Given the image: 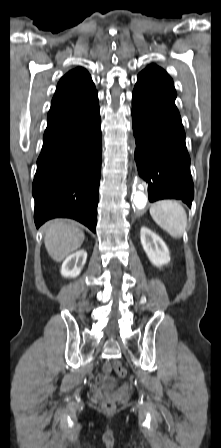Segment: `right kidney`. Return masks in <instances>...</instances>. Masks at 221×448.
Instances as JSON below:
<instances>
[{"label":"right kidney","instance_id":"ca27d5eb","mask_svg":"<svg viewBox=\"0 0 221 448\" xmlns=\"http://www.w3.org/2000/svg\"><path fill=\"white\" fill-rule=\"evenodd\" d=\"M87 252L79 250L68 256L62 264L61 274L64 277H77L86 262Z\"/></svg>","mask_w":221,"mask_h":448}]
</instances>
